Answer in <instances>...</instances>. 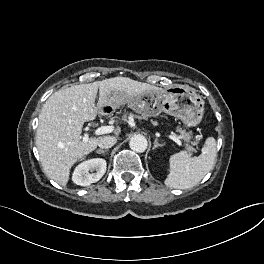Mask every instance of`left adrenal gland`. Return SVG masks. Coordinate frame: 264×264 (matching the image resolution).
Instances as JSON below:
<instances>
[{
    "mask_svg": "<svg viewBox=\"0 0 264 264\" xmlns=\"http://www.w3.org/2000/svg\"><path fill=\"white\" fill-rule=\"evenodd\" d=\"M162 146H164V145H163V144H160V143L158 142V139L155 138L153 149H156L157 147H162Z\"/></svg>",
    "mask_w": 264,
    "mask_h": 264,
    "instance_id": "left-adrenal-gland-1",
    "label": "left adrenal gland"
}]
</instances>
